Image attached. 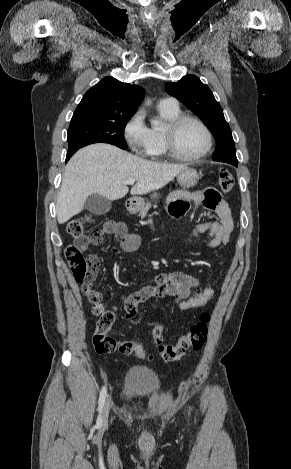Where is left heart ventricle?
Segmentation results:
<instances>
[{"instance_id": "1", "label": "left heart ventricle", "mask_w": 291, "mask_h": 469, "mask_svg": "<svg viewBox=\"0 0 291 469\" xmlns=\"http://www.w3.org/2000/svg\"><path fill=\"white\" fill-rule=\"evenodd\" d=\"M177 151L185 157H194L200 154L206 145V136L196 123L185 122L176 134Z\"/></svg>"}]
</instances>
